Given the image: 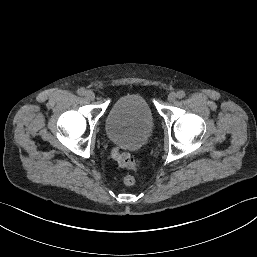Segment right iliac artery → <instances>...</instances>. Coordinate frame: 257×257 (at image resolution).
I'll use <instances>...</instances> for the list:
<instances>
[{
  "label": "right iliac artery",
  "mask_w": 257,
  "mask_h": 257,
  "mask_svg": "<svg viewBox=\"0 0 257 257\" xmlns=\"http://www.w3.org/2000/svg\"><path fill=\"white\" fill-rule=\"evenodd\" d=\"M85 89L84 88H80V89H78V91H77V93L80 95V96H83V95H85Z\"/></svg>",
  "instance_id": "82829eb1"
}]
</instances>
